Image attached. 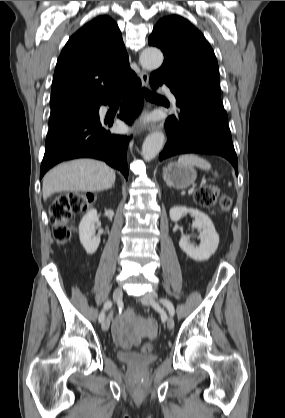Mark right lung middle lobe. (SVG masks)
I'll return each instance as SVG.
<instances>
[{
	"instance_id": "dd1d6c3e",
	"label": "right lung middle lobe",
	"mask_w": 285,
	"mask_h": 418,
	"mask_svg": "<svg viewBox=\"0 0 285 418\" xmlns=\"http://www.w3.org/2000/svg\"><path fill=\"white\" fill-rule=\"evenodd\" d=\"M98 104L73 103L51 108L49 129L57 127L65 122L91 117L97 113Z\"/></svg>"
}]
</instances>
